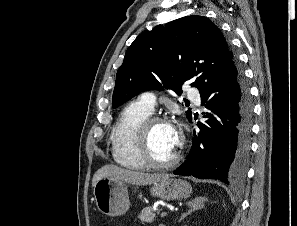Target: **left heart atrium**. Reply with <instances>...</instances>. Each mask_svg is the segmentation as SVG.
<instances>
[{"label": "left heart atrium", "instance_id": "1", "mask_svg": "<svg viewBox=\"0 0 297 226\" xmlns=\"http://www.w3.org/2000/svg\"><path fill=\"white\" fill-rule=\"evenodd\" d=\"M173 131L175 133V136L179 139L180 138V132L179 129L172 125Z\"/></svg>", "mask_w": 297, "mask_h": 226}]
</instances>
